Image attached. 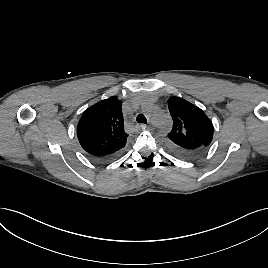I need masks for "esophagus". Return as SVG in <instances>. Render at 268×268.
<instances>
[{"mask_svg": "<svg viewBox=\"0 0 268 268\" xmlns=\"http://www.w3.org/2000/svg\"><path fill=\"white\" fill-rule=\"evenodd\" d=\"M141 127H142L143 129L147 128V126H146V125H141Z\"/></svg>", "mask_w": 268, "mask_h": 268, "instance_id": "esophagus-1", "label": "esophagus"}]
</instances>
